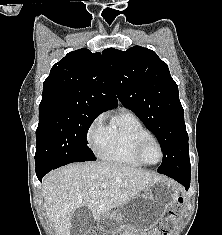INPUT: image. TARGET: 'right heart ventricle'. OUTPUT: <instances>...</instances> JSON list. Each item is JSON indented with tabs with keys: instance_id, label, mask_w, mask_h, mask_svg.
I'll list each match as a JSON object with an SVG mask.
<instances>
[{
	"instance_id": "obj_1",
	"label": "right heart ventricle",
	"mask_w": 222,
	"mask_h": 235,
	"mask_svg": "<svg viewBox=\"0 0 222 235\" xmlns=\"http://www.w3.org/2000/svg\"><path fill=\"white\" fill-rule=\"evenodd\" d=\"M151 135L133 112L121 110L106 125L102 141L97 148L98 155L106 161L142 167L143 164L135 156V147L141 138Z\"/></svg>"
}]
</instances>
